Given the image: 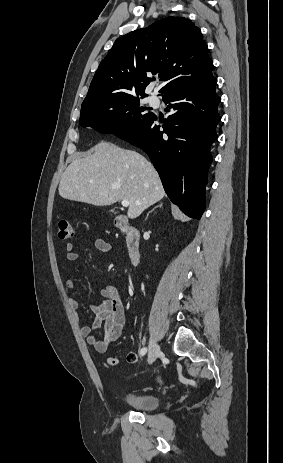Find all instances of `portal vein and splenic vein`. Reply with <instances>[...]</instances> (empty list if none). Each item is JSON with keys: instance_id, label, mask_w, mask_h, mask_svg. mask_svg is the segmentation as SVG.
<instances>
[{"instance_id": "portal-vein-and-splenic-vein-1", "label": "portal vein and splenic vein", "mask_w": 283, "mask_h": 463, "mask_svg": "<svg viewBox=\"0 0 283 463\" xmlns=\"http://www.w3.org/2000/svg\"><path fill=\"white\" fill-rule=\"evenodd\" d=\"M122 206L128 207L129 206V201L128 200H122Z\"/></svg>"}]
</instances>
